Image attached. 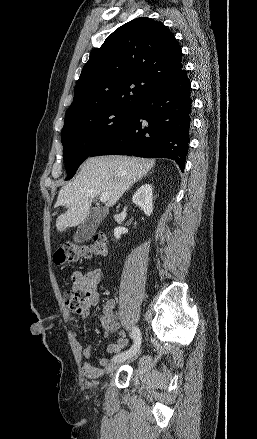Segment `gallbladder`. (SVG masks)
Wrapping results in <instances>:
<instances>
[{
    "mask_svg": "<svg viewBox=\"0 0 257 439\" xmlns=\"http://www.w3.org/2000/svg\"><path fill=\"white\" fill-rule=\"evenodd\" d=\"M101 220L102 215L99 211L96 209L91 210L84 222L78 227L73 239L80 243L89 240L95 233Z\"/></svg>",
    "mask_w": 257,
    "mask_h": 439,
    "instance_id": "gallbladder-1",
    "label": "gallbladder"
}]
</instances>
